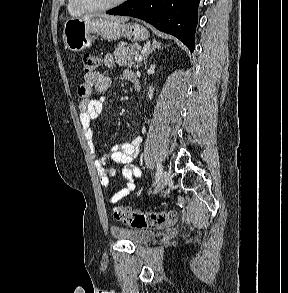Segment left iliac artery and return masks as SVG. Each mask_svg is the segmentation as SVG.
Returning <instances> with one entry per match:
<instances>
[{
	"label": "left iliac artery",
	"instance_id": "1",
	"mask_svg": "<svg viewBox=\"0 0 288 293\" xmlns=\"http://www.w3.org/2000/svg\"><path fill=\"white\" fill-rule=\"evenodd\" d=\"M161 174H162V166L160 163H157V172H156L154 184H156V182L159 180Z\"/></svg>",
	"mask_w": 288,
	"mask_h": 293
}]
</instances>
